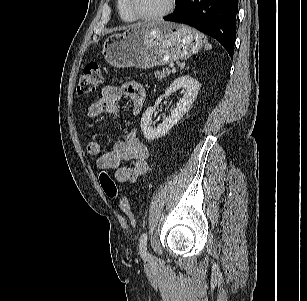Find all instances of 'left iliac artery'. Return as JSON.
Returning <instances> with one entry per match:
<instances>
[{
  "label": "left iliac artery",
  "mask_w": 307,
  "mask_h": 301,
  "mask_svg": "<svg viewBox=\"0 0 307 301\" xmlns=\"http://www.w3.org/2000/svg\"><path fill=\"white\" fill-rule=\"evenodd\" d=\"M139 249L142 257H145L147 250V233H143L140 237Z\"/></svg>",
  "instance_id": "44dca946"
}]
</instances>
